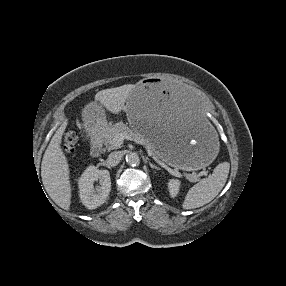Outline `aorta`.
Wrapping results in <instances>:
<instances>
[{
  "mask_svg": "<svg viewBox=\"0 0 286 286\" xmlns=\"http://www.w3.org/2000/svg\"><path fill=\"white\" fill-rule=\"evenodd\" d=\"M126 162L131 166H137L140 163V158L137 153L130 152L126 155Z\"/></svg>",
  "mask_w": 286,
  "mask_h": 286,
  "instance_id": "1",
  "label": "aorta"
}]
</instances>
